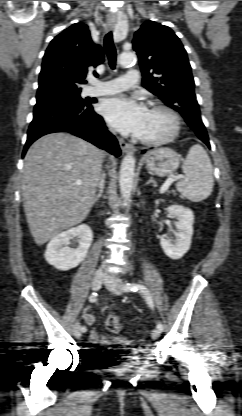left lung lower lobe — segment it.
Here are the masks:
<instances>
[{
    "label": "left lung lower lobe",
    "instance_id": "0a47b994",
    "mask_svg": "<svg viewBox=\"0 0 242 416\" xmlns=\"http://www.w3.org/2000/svg\"><path fill=\"white\" fill-rule=\"evenodd\" d=\"M200 139L210 148L208 136H203Z\"/></svg>",
    "mask_w": 242,
    "mask_h": 416
}]
</instances>
